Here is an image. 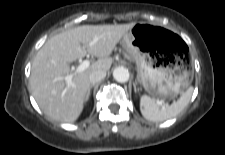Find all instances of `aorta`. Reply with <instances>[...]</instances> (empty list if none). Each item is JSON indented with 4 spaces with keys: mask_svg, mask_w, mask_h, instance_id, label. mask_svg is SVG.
<instances>
[{
    "mask_svg": "<svg viewBox=\"0 0 225 155\" xmlns=\"http://www.w3.org/2000/svg\"><path fill=\"white\" fill-rule=\"evenodd\" d=\"M113 77L117 82L125 83L129 80V71L124 67H117L113 71Z\"/></svg>",
    "mask_w": 225,
    "mask_h": 155,
    "instance_id": "762f6f07",
    "label": "aorta"
}]
</instances>
